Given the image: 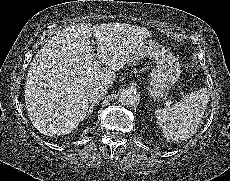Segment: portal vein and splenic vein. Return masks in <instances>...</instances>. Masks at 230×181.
Segmentation results:
<instances>
[{"label": "portal vein and splenic vein", "mask_w": 230, "mask_h": 181, "mask_svg": "<svg viewBox=\"0 0 230 181\" xmlns=\"http://www.w3.org/2000/svg\"><path fill=\"white\" fill-rule=\"evenodd\" d=\"M99 63H100V62H99L98 60H94V61H93V65H94V66H98ZM170 104H171V102H167V105H170Z\"/></svg>", "instance_id": "portal-vein-and-splenic-vein-1"}]
</instances>
